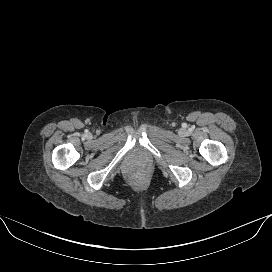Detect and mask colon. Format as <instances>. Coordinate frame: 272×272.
I'll return each instance as SVG.
<instances>
[{"label":"colon","instance_id":"colon-1","mask_svg":"<svg viewBox=\"0 0 272 272\" xmlns=\"http://www.w3.org/2000/svg\"><path fill=\"white\" fill-rule=\"evenodd\" d=\"M143 177H144L143 172H137V173H135V174L133 175V180H134V181H140V180L143 179Z\"/></svg>","mask_w":272,"mask_h":272}]
</instances>
